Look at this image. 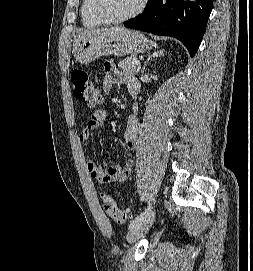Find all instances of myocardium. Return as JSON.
<instances>
[{
	"label": "myocardium",
	"instance_id": "myocardium-1",
	"mask_svg": "<svg viewBox=\"0 0 253 271\" xmlns=\"http://www.w3.org/2000/svg\"><path fill=\"white\" fill-rule=\"evenodd\" d=\"M148 0H140L138 6L129 14L122 17H111L104 9V0H94L93 8L96 16L106 24H119L140 15L147 5Z\"/></svg>",
	"mask_w": 253,
	"mask_h": 271
}]
</instances>
